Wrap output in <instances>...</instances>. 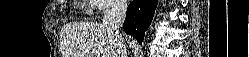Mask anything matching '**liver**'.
Wrapping results in <instances>:
<instances>
[{
	"mask_svg": "<svg viewBox=\"0 0 249 57\" xmlns=\"http://www.w3.org/2000/svg\"><path fill=\"white\" fill-rule=\"evenodd\" d=\"M63 57H120L119 39L100 23H69L61 30ZM122 57V56H121Z\"/></svg>",
	"mask_w": 249,
	"mask_h": 57,
	"instance_id": "obj_1",
	"label": "liver"
}]
</instances>
